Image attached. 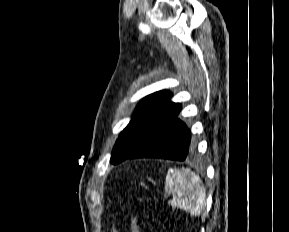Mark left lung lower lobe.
Listing matches in <instances>:
<instances>
[{"label":"left lung lower lobe","mask_w":289,"mask_h":232,"mask_svg":"<svg viewBox=\"0 0 289 232\" xmlns=\"http://www.w3.org/2000/svg\"><path fill=\"white\" fill-rule=\"evenodd\" d=\"M178 115L126 159L153 157L183 161L190 157L194 151V140Z\"/></svg>","instance_id":"obj_1"}]
</instances>
